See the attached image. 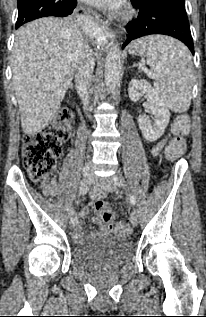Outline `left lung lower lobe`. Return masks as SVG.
<instances>
[{
	"label": "left lung lower lobe",
	"instance_id": "left-lung-lower-lobe-1",
	"mask_svg": "<svg viewBox=\"0 0 206 317\" xmlns=\"http://www.w3.org/2000/svg\"><path fill=\"white\" fill-rule=\"evenodd\" d=\"M139 9L138 17L127 24V40L149 34H164L182 41L194 54L193 39L185 7L157 1H143L133 5Z\"/></svg>",
	"mask_w": 206,
	"mask_h": 317
}]
</instances>
